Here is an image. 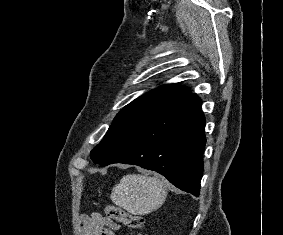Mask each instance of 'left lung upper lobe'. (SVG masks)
Wrapping results in <instances>:
<instances>
[{"label":"left lung upper lobe","instance_id":"left-lung-upper-lobe-1","mask_svg":"<svg viewBox=\"0 0 283 235\" xmlns=\"http://www.w3.org/2000/svg\"><path fill=\"white\" fill-rule=\"evenodd\" d=\"M191 95L184 86H161L125 106L114 118L104 139L91 151V159L100 165L109 155L154 117Z\"/></svg>","mask_w":283,"mask_h":235}]
</instances>
